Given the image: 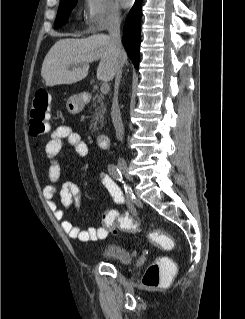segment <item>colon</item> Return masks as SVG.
I'll return each instance as SVG.
<instances>
[{
    "mask_svg": "<svg viewBox=\"0 0 245 319\" xmlns=\"http://www.w3.org/2000/svg\"><path fill=\"white\" fill-rule=\"evenodd\" d=\"M50 112V95L46 90L35 93L30 110V132L34 137L46 133ZM105 226L113 231L133 232L137 230L138 223L129 215H120L114 210H109L103 215ZM150 239L164 250H171L175 246L172 237L166 235L160 228H152L149 232ZM173 265L167 258H157L146 270L143 276V285L146 288L163 286L171 276Z\"/></svg>",
    "mask_w": 245,
    "mask_h": 319,
    "instance_id": "5ec220e1",
    "label": "colon"
}]
</instances>
